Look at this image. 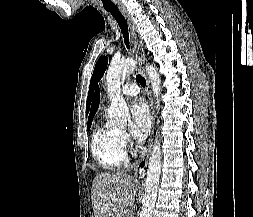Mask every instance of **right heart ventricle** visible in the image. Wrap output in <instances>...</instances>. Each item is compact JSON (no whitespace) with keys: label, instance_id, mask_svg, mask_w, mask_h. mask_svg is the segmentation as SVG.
Returning a JSON list of instances; mask_svg holds the SVG:
<instances>
[{"label":"right heart ventricle","instance_id":"right-heart-ventricle-1","mask_svg":"<svg viewBox=\"0 0 253 217\" xmlns=\"http://www.w3.org/2000/svg\"><path fill=\"white\" fill-rule=\"evenodd\" d=\"M119 135L118 131L105 124H99L93 130L91 152L105 170L114 171L128 165L129 159Z\"/></svg>","mask_w":253,"mask_h":217}]
</instances>
